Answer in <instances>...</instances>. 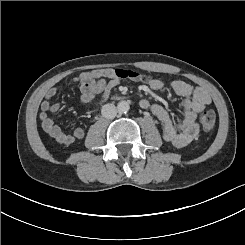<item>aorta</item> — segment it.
<instances>
[{
  "label": "aorta",
  "instance_id": "762f6f07",
  "mask_svg": "<svg viewBox=\"0 0 245 245\" xmlns=\"http://www.w3.org/2000/svg\"><path fill=\"white\" fill-rule=\"evenodd\" d=\"M117 109L121 114L127 113L130 109V105L127 101H120L117 105Z\"/></svg>",
  "mask_w": 245,
  "mask_h": 245
}]
</instances>
